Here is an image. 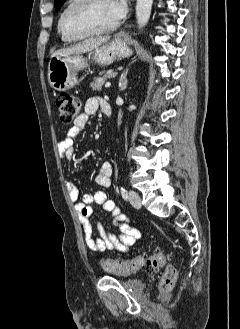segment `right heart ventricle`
<instances>
[{
	"label": "right heart ventricle",
	"instance_id": "obj_1",
	"mask_svg": "<svg viewBox=\"0 0 240 329\" xmlns=\"http://www.w3.org/2000/svg\"><path fill=\"white\" fill-rule=\"evenodd\" d=\"M72 2H73V0H68V1H67L66 5H65L64 8L62 9V11H61V13H60V15H59L58 21H57V30H58V32H59V35H60L61 39H62L63 41H65V42H70V41H73V40L67 38V37L63 34V32H62V30H61V17H62V14H63L64 10H65V9H66V8L72 3Z\"/></svg>",
	"mask_w": 240,
	"mask_h": 329
}]
</instances>
